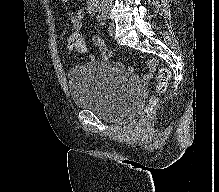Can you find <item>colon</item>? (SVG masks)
<instances>
[{
	"label": "colon",
	"instance_id": "obj_1",
	"mask_svg": "<svg viewBox=\"0 0 219 192\" xmlns=\"http://www.w3.org/2000/svg\"><path fill=\"white\" fill-rule=\"evenodd\" d=\"M69 52H78L84 53L86 51V45L81 39H75L74 41L68 44ZM170 82V72L167 68H160L158 71V84L157 89L160 92H163L167 89ZM157 108V99L152 97L148 100L145 110L142 116L139 119V124L146 126L150 119L155 114Z\"/></svg>",
	"mask_w": 219,
	"mask_h": 192
}]
</instances>
